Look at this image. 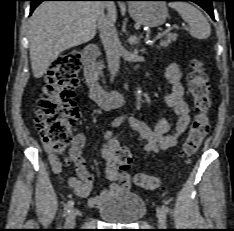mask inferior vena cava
<instances>
[{
    "instance_id": "1",
    "label": "inferior vena cava",
    "mask_w": 234,
    "mask_h": 231,
    "mask_svg": "<svg viewBox=\"0 0 234 231\" xmlns=\"http://www.w3.org/2000/svg\"><path fill=\"white\" fill-rule=\"evenodd\" d=\"M112 4V1L105 2V5L107 7ZM98 29L100 32L102 43L105 48L111 79L113 80L119 72L121 44L113 23L104 14L98 21Z\"/></svg>"
}]
</instances>
